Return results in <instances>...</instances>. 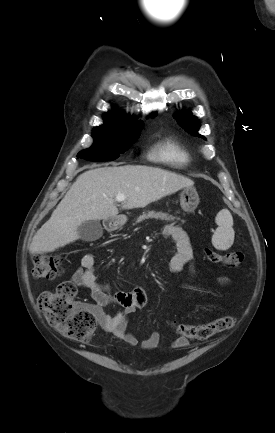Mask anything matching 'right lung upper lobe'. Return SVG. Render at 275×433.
Instances as JSON below:
<instances>
[{
    "mask_svg": "<svg viewBox=\"0 0 275 433\" xmlns=\"http://www.w3.org/2000/svg\"><path fill=\"white\" fill-rule=\"evenodd\" d=\"M156 116V113H153L150 115V117ZM106 125H124V124H137L139 122L135 121L134 119L130 118L129 116H126L122 112H116L114 114L107 115Z\"/></svg>",
    "mask_w": 275,
    "mask_h": 433,
    "instance_id": "right-lung-upper-lobe-1",
    "label": "right lung upper lobe"
}]
</instances>
